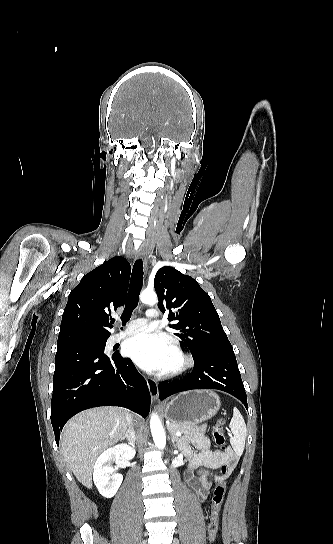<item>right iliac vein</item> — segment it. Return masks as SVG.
I'll use <instances>...</instances> for the list:
<instances>
[{"label":"right iliac vein","mask_w":333,"mask_h":544,"mask_svg":"<svg viewBox=\"0 0 333 544\" xmlns=\"http://www.w3.org/2000/svg\"><path fill=\"white\" fill-rule=\"evenodd\" d=\"M142 544H147V541H143Z\"/></svg>","instance_id":"63e3f726"}]
</instances>
